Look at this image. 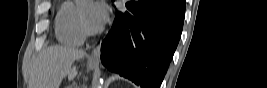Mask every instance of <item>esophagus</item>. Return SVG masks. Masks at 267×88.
Returning a JSON list of instances; mask_svg holds the SVG:
<instances>
[{
	"label": "esophagus",
	"instance_id": "obj_1",
	"mask_svg": "<svg viewBox=\"0 0 267 88\" xmlns=\"http://www.w3.org/2000/svg\"><path fill=\"white\" fill-rule=\"evenodd\" d=\"M100 45L96 46L93 50L92 53L89 57V62L90 63H98L100 59Z\"/></svg>",
	"mask_w": 267,
	"mask_h": 88
}]
</instances>
